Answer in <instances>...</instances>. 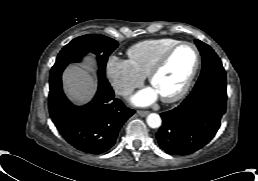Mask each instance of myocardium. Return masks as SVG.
Masks as SVG:
<instances>
[{
	"instance_id": "f54148a6",
	"label": "myocardium",
	"mask_w": 258,
	"mask_h": 181,
	"mask_svg": "<svg viewBox=\"0 0 258 181\" xmlns=\"http://www.w3.org/2000/svg\"><path fill=\"white\" fill-rule=\"evenodd\" d=\"M182 46H190L194 50L195 55H196L195 65H194V68H193L192 72L190 73L187 81L185 82L184 86L177 93H175L171 96H161V100L166 103H173V102L180 100L187 94L190 87L192 86L193 81L199 71L200 64H201V56H200V52H199L197 46L194 43L188 42V41H180V42L176 43L171 48L166 50L158 58V60L156 61V63L154 64V66L152 67V69L150 70V72L148 74L149 82L151 85H153V82H154V79L156 78V76L164 68V66L167 64V62L171 58V56Z\"/></svg>"
}]
</instances>
